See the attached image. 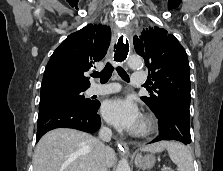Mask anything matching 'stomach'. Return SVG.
Listing matches in <instances>:
<instances>
[{
    "label": "stomach",
    "mask_w": 223,
    "mask_h": 171,
    "mask_svg": "<svg viewBox=\"0 0 223 171\" xmlns=\"http://www.w3.org/2000/svg\"><path fill=\"white\" fill-rule=\"evenodd\" d=\"M136 166L143 169H151L155 164V157L152 154H147L142 156L141 154H137L135 158Z\"/></svg>",
    "instance_id": "0dacf381"
}]
</instances>
